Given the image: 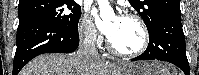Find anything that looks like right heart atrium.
Returning <instances> with one entry per match:
<instances>
[{"instance_id":"d8ad5b80","label":"right heart atrium","mask_w":199,"mask_h":75,"mask_svg":"<svg viewBox=\"0 0 199 75\" xmlns=\"http://www.w3.org/2000/svg\"><path fill=\"white\" fill-rule=\"evenodd\" d=\"M79 32L81 38L91 46H98L101 43V35L99 34L97 27L93 20L85 15L79 26Z\"/></svg>"}]
</instances>
